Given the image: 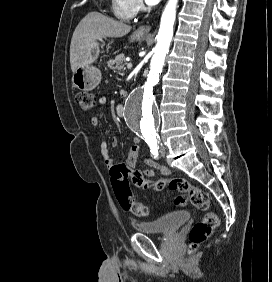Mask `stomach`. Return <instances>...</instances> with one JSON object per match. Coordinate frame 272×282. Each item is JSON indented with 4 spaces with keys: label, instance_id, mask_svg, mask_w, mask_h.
Returning a JSON list of instances; mask_svg holds the SVG:
<instances>
[{
    "label": "stomach",
    "instance_id": "1",
    "mask_svg": "<svg viewBox=\"0 0 272 282\" xmlns=\"http://www.w3.org/2000/svg\"><path fill=\"white\" fill-rule=\"evenodd\" d=\"M145 37L144 34L139 32H134L130 39L141 40ZM110 41L109 43H112ZM105 44L103 39L95 41L89 50L84 55L77 69L73 72L72 82L74 87L83 90L91 91L93 90L101 81V71L93 66V63L97 60L100 54V47Z\"/></svg>",
    "mask_w": 272,
    "mask_h": 282
}]
</instances>
